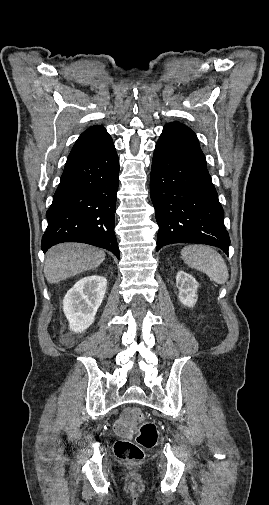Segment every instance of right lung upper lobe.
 <instances>
[{
  "label": "right lung upper lobe",
  "mask_w": 269,
  "mask_h": 505,
  "mask_svg": "<svg viewBox=\"0 0 269 505\" xmlns=\"http://www.w3.org/2000/svg\"><path fill=\"white\" fill-rule=\"evenodd\" d=\"M112 142L111 136L102 126H93L84 131L76 141L67 161L93 154Z\"/></svg>",
  "instance_id": "cb5924a9"
}]
</instances>
